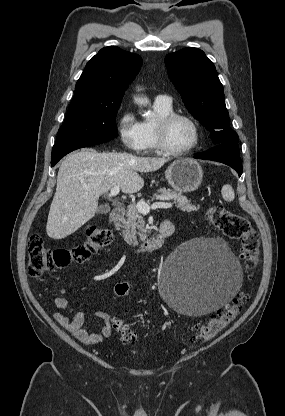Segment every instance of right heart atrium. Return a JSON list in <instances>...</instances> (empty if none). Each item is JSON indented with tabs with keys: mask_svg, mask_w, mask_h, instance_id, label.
<instances>
[{
	"mask_svg": "<svg viewBox=\"0 0 285 416\" xmlns=\"http://www.w3.org/2000/svg\"><path fill=\"white\" fill-rule=\"evenodd\" d=\"M118 132L125 148L140 152L145 149L141 121L131 107L123 109L119 115Z\"/></svg>",
	"mask_w": 285,
	"mask_h": 416,
	"instance_id": "1",
	"label": "right heart atrium"
}]
</instances>
